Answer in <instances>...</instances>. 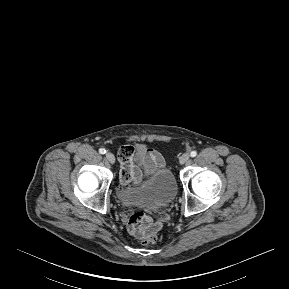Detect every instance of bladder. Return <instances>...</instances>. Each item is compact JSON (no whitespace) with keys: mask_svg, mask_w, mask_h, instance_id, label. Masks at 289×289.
<instances>
[{"mask_svg":"<svg viewBox=\"0 0 289 289\" xmlns=\"http://www.w3.org/2000/svg\"><path fill=\"white\" fill-rule=\"evenodd\" d=\"M177 195V182L169 167L152 168L149 178L142 187L118 188L117 200L126 206L147 205L165 207Z\"/></svg>","mask_w":289,"mask_h":289,"instance_id":"bladder-1","label":"bladder"}]
</instances>
